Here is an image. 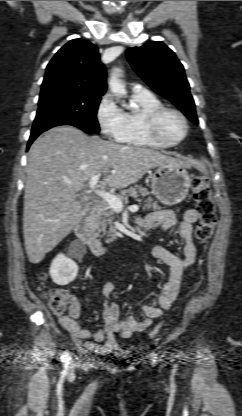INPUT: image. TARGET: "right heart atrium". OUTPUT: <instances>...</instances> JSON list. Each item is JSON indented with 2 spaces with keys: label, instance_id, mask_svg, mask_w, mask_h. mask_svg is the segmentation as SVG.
<instances>
[{
  "label": "right heart atrium",
  "instance_id": "1",
  "mask_svg": "<svg viewBox=\"0 0 242 416\" xmlns=\"http://www.w3.org/2000/svg\"><path fill=\"white\" fill-rule=\"evenodd\" d=\"M96 119L106 137L120 140L126 127L125 113L112 96L105 95L102 98L97 107Z\"/></svg>",
  "mask_w": 242,
  "mask_h": 416
}]
</instances>
